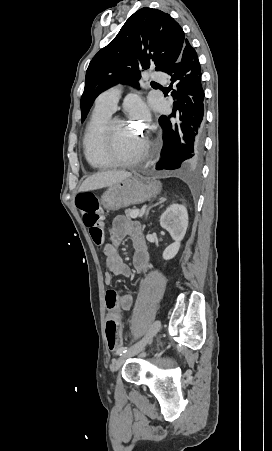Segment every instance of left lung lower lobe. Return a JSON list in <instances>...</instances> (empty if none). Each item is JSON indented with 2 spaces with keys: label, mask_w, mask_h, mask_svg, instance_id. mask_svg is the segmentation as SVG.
Instances as JSON below:
<instances>
[{
  "label": "left lung lower lobe",
  "mask_w": 272,
  "mask_h": 451,
  "mask_svg": "<svg viewBox=\"0 0 272 451\" xmlns=\"http://www.w3.org/2000/svg\"><path fill=\"white\" fill-rule=\"evenodd\" d=\"M165 73L171 76L173 113L161 116L164 145L157 170L187 169L197 166L203 156L204 90L195 49L186 40L177 62ZM175 118V119H174Z\"/></svg>",
  "instance_id": "0a47b994"
}]
</instances>
